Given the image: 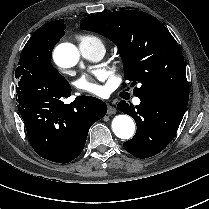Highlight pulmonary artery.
I'll list each match as a JSON object with an SVG mask.
<instances>
[{
  "instance_id": "obj_1",
  "label": "pulmonary artery",
  "mask_w": 209,
  "mask_h": 209,
  "mask_svg": "<svg viewBox=\"0 0 209 209\" xmlns=\"http://www.w3.org/2000/svg\"><path fill=\"white\" fill-rule=\"evenodd\" d=\"M79 49L83 57L92 61L101 60L105 54L104 46L101 43L80 44ZM132 101L135 105H138L141 102L137 97H134Z\"/></svg>"
}]
</instances>
